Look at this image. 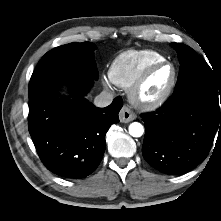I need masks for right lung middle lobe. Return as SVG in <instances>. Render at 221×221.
I'll use <instances>...</instances> for the list:
<instances>
[{
	"instance_id": "right-lung-middle-lobe-1",
	"label": "right lung middle lobe",
	"mask_w": 221,
	"mask_h": 221,
	"mask_svg": "<svg viewBox=\"0 0 221 221\" xmlns=\"http://www.w3.org/2000/svg\"><path fill=\"white\" fill-rule=\"evenodd\" d=\"M95 44L70 43L47 52L36 66L29 83V94L43 84L70 74H84L97 78L94 61Z\"/></svg>"
}]
</instances>
